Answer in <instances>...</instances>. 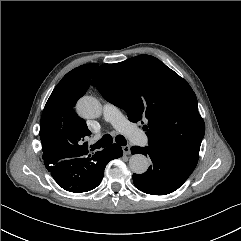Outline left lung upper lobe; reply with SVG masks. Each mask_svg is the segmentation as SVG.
<instances>
[{"instance_id":"1","label":"left lung upper lobe","mask_w":241,"mask_h":241,"mask_svg":"<svg viewBox=\"0 0 241 241\" xmlns=\"http://www.w3.org/2000/svg\"><path fill=\"white\" fill-rule=\"evenodd\" d=\"M102 96L124 109L132 122L143 126L151 146L193 160L199 158L205 124L190 85L150 55L100 66L92 76ZM143 124V122H142Z\"/></svg>"}]
</instances>
